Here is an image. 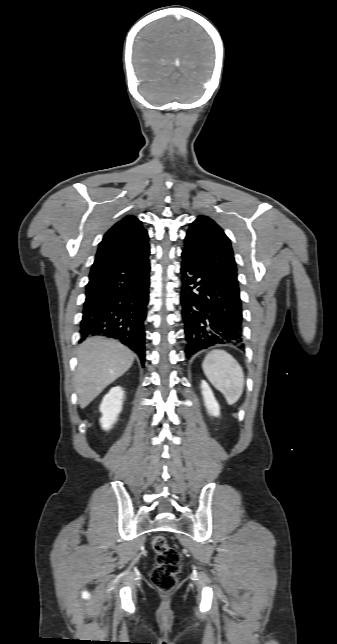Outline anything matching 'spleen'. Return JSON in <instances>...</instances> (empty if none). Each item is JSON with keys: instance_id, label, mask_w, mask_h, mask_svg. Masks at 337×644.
Returning <instances> with one entry per match:
<instances>
[{"instance_id": "3e777b00", "label": "spleen", "mask_w": 337, "mask_h": 644, "mask_svg": "<svg viewBox=\"0 0 337 644\" xmlns=\"http://www.w3.org/2000/svg\"><path fill=\"white\" fill-rule=\"evenodd\" d=\"M211 384L220 391L229 405L235 404L243 393L244 373L240 364L224 350H212L202 364Z\"/></svg>"}]
</instances>
